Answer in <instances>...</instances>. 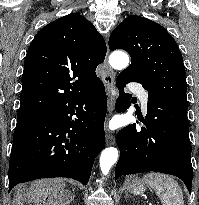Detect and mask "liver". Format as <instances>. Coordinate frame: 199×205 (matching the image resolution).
Listing matches in <instances>:
<instances>
[{"mask_svg":"<svg viewBox=\"0 0 199 205\" xmlns=\"http://www.w3.org/2000/svg\"><path fill=\"white\" fill-rule=\"evenodd\" d=\"M65 182L62 179H43L34 181L27 193L20 188L15 199L16 204L23 205L24 201L29 204L42 205L46 198L51 205H66L73 196L64 189Z\"/></svg>","mask_w":199,"mask_h":205,"instance_id":"1","label":"liver"}]
</instances>
